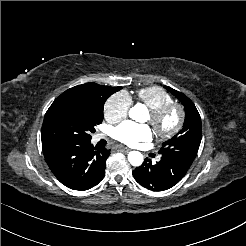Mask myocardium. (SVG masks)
Segmentation results:
<instances>
[{"mask_svg":"<svg viewBox=\"0 0 246 246\" xmlns=\"http://www.w3.org/2000/svg\"><path fill=\"white\" fill-rule=\"evenodd\" d=\"M171 113H176V120L172 126L164 127L163 122ZM149 117L150 124L157 135L162 139H171L182 129L185 122V111L180 104L174 102L150 110Z\"/></svg>","mask_w":246,"mask_h":246,"instance_id":"myocardium-1","label":"myocardium"}]
</instances>
